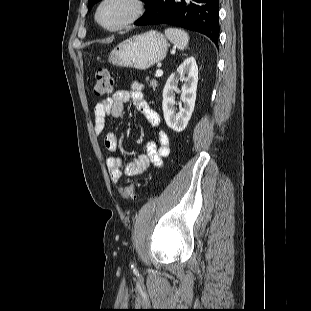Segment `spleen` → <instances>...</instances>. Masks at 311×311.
<instances>
[{
  "label": "spleen",
  "instance_id": "3e777b00",
  "mask_svg": "<svg viewBox=\"0 0 311 311\" xmlns=\"http://www.w3.org/2000/svg\"><path fill=\"white\" fill-rule=\"evenodd\" d=\"M165 35L179 50H184L188 45L189 35L184 30L168 28Z\"/></svg>",
  "mask_w": 311,
  "mask_h": 311
}]
</instances>
